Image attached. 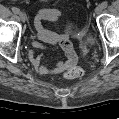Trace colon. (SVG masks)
Masks as SVG:
<instances>
[{
    "label": "colon",
    "instance_id": "1",
    "mask_svg": "<svg viewBox=\"0 0 119 119\" xmlns=\"http://www.w3.org/2000/svg\"><path fill=\"white\" fill-rule=\"evenodd\" d=\"M84 74L82 68L74 66L71 68H68L64 71V77L66 79H78L82 77Z\"/></svg>",
    "mask_w": 119,
    "mask_h": 119
}]
</instances>
